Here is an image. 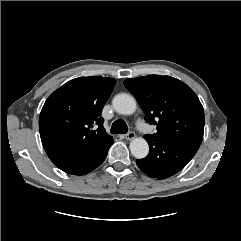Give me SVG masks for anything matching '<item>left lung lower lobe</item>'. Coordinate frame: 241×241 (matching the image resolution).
<instances>
[{
	"instance_id": "left-lung-lower-lobe-1",
	"label": "left lung lower lobe",
	"mask_w": 241,
	"mask_h": 241,
	"mask_svg": "<svg viewBox=\"0 0 241 241\" xmlns=\"http://www.w3.org/2000/svg\"><path fill=\"white\" fill-rule=\"evenodd\" d=\"M144 138L149 144V154L144 159L136 160V163L145 174L157 179L169 178L182 170L200 146L150 135H145Z\"/></svg>"
}]
</instances>
